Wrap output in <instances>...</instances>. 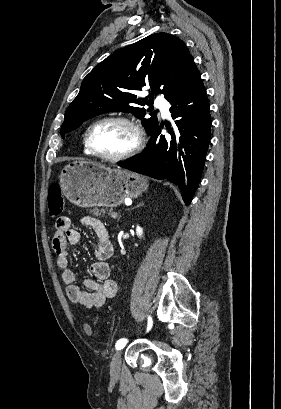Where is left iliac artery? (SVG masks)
Segmentation results:
<instances>
[{"mask_svg":"<svg viewBox=\"0 0 281 409\" xmlns=\"http://www.w3.org/2000/svg\"><path fill=\"white\" fill-rule=\"evenodd\" d=\"M151 326H152V320H151V318L149 317V318H148V327H147V330H150ZM126 343H127V339H125V338L120 339V340L117 341L115 347H116L117 350H120V349H122V348L126 345Z\"/></svg>","mask_w":281,"mask_h":409,"instance_id":"44dca946","label":"left iliac artery"}]
</instances>
